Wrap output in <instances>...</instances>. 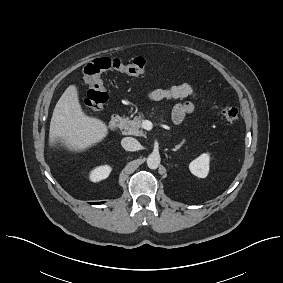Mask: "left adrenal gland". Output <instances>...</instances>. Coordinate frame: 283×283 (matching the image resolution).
I'll list each match as a JSON object with an SVG mask.
<instances>
[{
  "instance_id": "obj_1",
  "label": "left adrenal gland",
  "mask_w": 283,
  "mask_h": 283,
  "mask_svg": "<svg viewBox=\"0 0 283 283\" xmlns=\"http://www.w3.org/2000/svg\"><path fill=\"white\" fill-rule=\"evenodd\" d=\"M184 144V142H181L180 144L176 145L175 148H172V151H177L178 149H180L182 147V145Z\"/></svg>"
}]
</instances>
